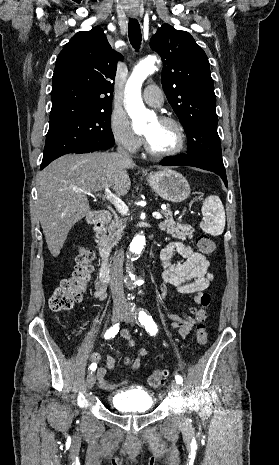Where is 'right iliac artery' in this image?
I'll return each instance as SVG.
<instances>
[{
  "label": "right iliac artery",
  "instance_id": "1",
  "mask_svg": "<svg viewBox=\"0 0 279 465\" xmlns=\"http://www.w3.org/2000/svg\"><path fill=\"white\" fill-rule=\"evenodd\" d=\"M118 331H119V324H115L106 331L104 338L105 339L113 338L118 333ZM96 368H97L96 364H91L89 367L91 371H94Z\"/></svg>",
  "mask_w": 279,
  "mask_h": 465
}]
</instances>
